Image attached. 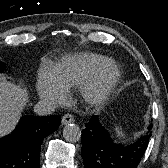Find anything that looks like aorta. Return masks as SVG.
<instances>
[{
  "mask_svg": "<svg viewBox=\"0 0 168 168\" xmlns=\"http://www.w3.org/2000/svg\"><path fill=\"white\" fill-rule=\"evenodd\" d=\"M63 137L68 142H77L81 138V129L76 124H68L63 129Z\"/></svg>",
  "mask_w": 168,
  "mask_h": 168,
  "instance_id": "obj_1",
  "label": "aorta"
}]
</instances>
